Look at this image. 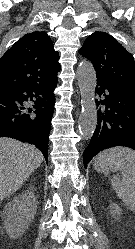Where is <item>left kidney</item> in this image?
Returning a JSON list of instances; mask_svg holds the SVG:
<instances>
[{
  "mask_svg": "<svg viewBox=\"0 0 135 249\" xmlns=\"http://www.w3.org/2000/svg\"><path fill=\"white\" fill-rule=\"evenodd\" d=\"M110 212H111V214H112L113 216H114V215H120V214H121V208H120L118 205L112 203V204L110 205Z\"/></svg>",
  "mask_w": 135,
  "mask_h": 249,
  "instance_id": "obj_1",
  "label": "left kidney"
}]
</instances>
